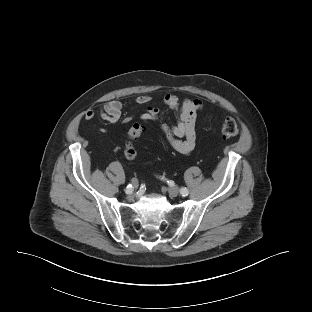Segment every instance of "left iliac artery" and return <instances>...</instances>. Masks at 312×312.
Here are the masks:
<instances>
[{
	"label": "left iliac artery",
	"instance_id": "obj_1",
	"mask_svg": "<svg viewBox=\"0 0 312 312\" xmlns=\"http://www.w3.org/2000/svg\"><path fill=\"white\" fill-rule=\"evenodd\" d=\"M180 193H181L183 196H187L188 193H189V191H188V189H186V188H181Z\"/></svg>",
	"mask_w": 312,
	"mask_h": 312
}]
</instances>
